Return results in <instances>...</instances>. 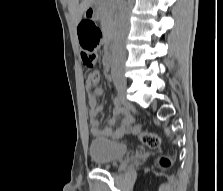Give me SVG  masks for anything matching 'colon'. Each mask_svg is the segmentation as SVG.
Returning a JSON list of instances; mask_svg holds the SVG:
<instances>
[{
  "instance_id": "obj_1",
  "label": "colon",
  "mask_w": 223,
  "mask_h": 191,
  "mask_svg": "<svg viewBox=\"0 0 223 191\" xmlns=\"http://www.w3.org/2000/svg\"><path fill=\"white\" fill-rule=\"evenodd\" d=\"M101 36L102 34L99 29L88 28L85 25L80 29L82 62L85 67L89 69L93 68L96 63V52L100 44ZM98 79L99 75L97 71H92L89 73L88 82L90 84H96ZM133 134L139 137L140 141L150 148H157L160 145V138L156 134L145 131L140 125L134 126ZM159 162L162 167H168L170 165V160L167 157H161Z\"/></svg>"
}]
</instances>
